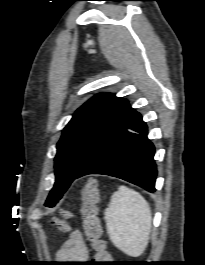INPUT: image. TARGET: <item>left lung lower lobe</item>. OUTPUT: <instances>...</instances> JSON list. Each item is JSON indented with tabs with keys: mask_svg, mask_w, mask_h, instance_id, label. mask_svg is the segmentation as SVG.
<instances>
[{
	"mask_svg": "<svg viewBox=\"0 0 205 265\" xmlns=\"http://www.w3.org/2000/svg\"><path fill=\"white\" fill-rule=\"evenodd\" d=\"M147 134L142 116L135 112L126 126L87 162L75 179L88 174H104L154 192L157 175L155 148Z\"/></svg>",
	"mask_w": 205,
	"mask_h": 265,
	"instance_id": "1",
	"label": "left lung lower lobe"
}]
</instances>
